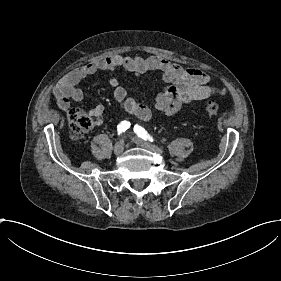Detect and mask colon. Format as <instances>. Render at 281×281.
Listing matches in <instances>:
<instances>
[{
	"mask_svg": "<svg viewBox=\"0 0 281 281\" xmlns=\"http://www.w3.org/2000/svg\"><path fill=\"white\" fill-rule=\"evenodd\" d=\"M202 112L208 116H216L221 111V104L216 101H205L202 104ZM71 120L73 122L74 128L77 133L83 135L87 133L91 127L92 122L89 117L81 113H74L71 116Z\"/></svg>",
	"mask_w": 281,
	"mask_h": 281,
	"instance_id": "5ec220e1",
	"label": "colon"
}]
</instances>
